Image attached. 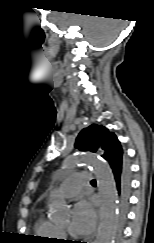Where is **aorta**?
Listing matches in <instances>:
<instances>
[{"instance_id": "aorta-1", "label": "aorta", "mask_w": 154, "mask_h": 243, "mask_svg": "<svg viewBox=\"0 0 154 243\" xmlns=\"http://www.w3.org/2000/svg\"><path fill=\"white\" fill-rule=\"evenodd\" d=\"M89 166L97 178V185L101 197L100 225L93 243H114L117 229V197L114 176L109 165L90 153H80L67 158L63 164V171L58 178L63 177L76 166ZM51 213L59 217L65 209L66 203L58 192L52 193L49 199Z\"/></svg>"}]
</instances>
